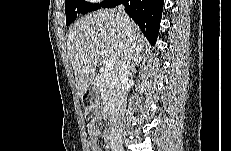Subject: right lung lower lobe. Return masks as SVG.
<instances>
[{
  "mask_svg": "<svg viewBox=\"0 0 231 151\" xmlns=\"http://www.w3.org/2000/svg\"><path fill=\"white\" fill-rule=\"evenodd\" d=\"M125 6V12L138 24L149 42L154 45L160 27L163 0H106L103 8Z\"/></svg>",
  "mask_w": 231,
  "mask_h": 151,
  "instance_id": "98d812e1",
  "label": "right lung lower lobe"
}]
</instances>
